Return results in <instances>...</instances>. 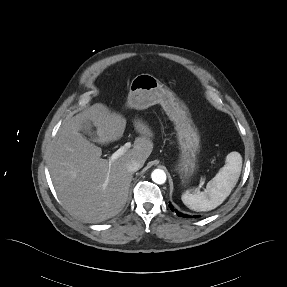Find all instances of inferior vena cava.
Segmentation results:
<instances>
[{"mask_svg": "<svg viewBox=\"0 0 287 287\" xmlns=\"http://www.w3.org/2000/svg\"><path fill=\"white\" fill-rule=\"evenodd\" d=\"M142 167V164L138 161L132 160L126 164V168L129 172H136Z\"/></svg>", "mask_w": 287, "mask_h": 287, "instance_id": "inferior-vena-cava-1", "label": "inferior vena cava"}]
</instances>
